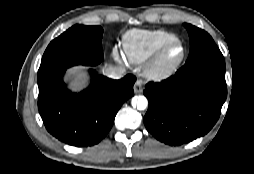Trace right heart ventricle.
I'll use <instances>...</instances> for the list:
<instances>
[{
  "mask_svg": "<svg viewBox=\"0 0 254 174\" xmlns=\"http://www.w3.org/2000/svg\"><path fill=\"white\" fill-rule=\"evenodd\" d=\"M174 39L177 36L166 30H129L123 36V53L130 63L142 64L162 45Z\"/></svg>",
  "mask_w": 254,
  "mask_h": 174,
  "instance_id": "obj_1",
  "label": "right heart ventricle"
}]
</instances>
